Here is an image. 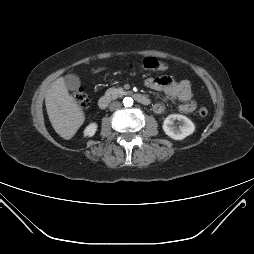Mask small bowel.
<instances>
[{
    "mask_svg": "<svg viewBox=\"0 0 254 254\" xmlns=\"http://www.w3.org/2000/svg\"><path fill=\"white\" fill-rule=\"evenodd\" d=\"M144 84L152 90L164 92L170 99L179 100L181 102L179 110L183 113H192L196 109V102L192 99L191 84L186 79L176 81L172 76L167 75L157 78L147 77ZM164 109L162 103L153 105V111L157 114H161Z\"/></svg>",
    "mask_w": 254,
    "mask_h": 254,
    "instance_id": "obj_1",
    "label": "small bowel"
}]
</instances>
